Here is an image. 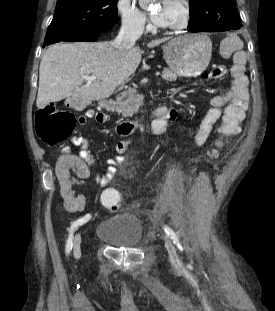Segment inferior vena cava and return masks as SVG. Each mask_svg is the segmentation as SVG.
<instances>
[{
	"mask_svg": "<svg viewBox=\"0 0 275 311\" xmlns=\"http://www.w3.org/2000/svg\"><path fill=\"white\" fill-rule=\"evenodd\" d=\"M143 31L144 24L142 22H124L112 44L120 51H128L134 46Z\"/></svg>",
	"mask_w": 275,
	"mask_h": 311,
	"instance_id": "inferior-vena-cava-1",
	"label": "inferior vena cava"
}]
</instances>
